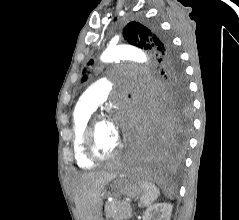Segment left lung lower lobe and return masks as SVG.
<instances>
[{"label": "left lung lower lobe", "mask_w": 239, "mask_h": 220, "mask_svg": "<svg viewBox=\"0 0 239 220\" xmlns=\"http://www.w3.org/2000/svg\"><path fill=\"white\" fill-rule=\"evenodd\" d=\"M185 144V130L177 128L166 108L161 106L150 119L133 165L142 173H163L181 162Z\"/></svg>", "instance_id": "1"}]
</instances>
